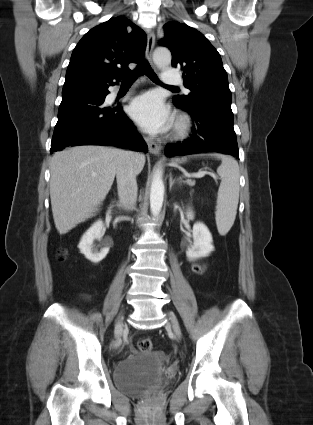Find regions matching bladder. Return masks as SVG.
<instances>
[{
	"instance_id": "31cf9c89",
	"label": "bladder",
	"mask_w": 313,
	"mask_h": 425,
	"mask_svg": "<svg viewBox=\"0 0 313 425\" xmlns=\"http://www.w3.org/2000/svg\"><path fill=\"white\" fill-rule=\"evenodd\" d=\"M165 362L166 357L161 351L127 356L115 367L116 388L131 396H144L161 389L166 382L163 374Z\"/></svg>"
}]
</instances>
